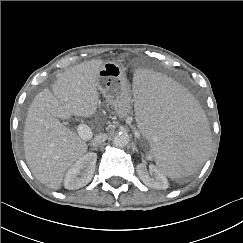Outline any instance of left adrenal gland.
Returning a JSON list of instances; mask_svg holds the SVG:
<instances>
[{
    "mask_svg": "<svg viewBox=\"0 0 243 243\" xmlns=\"http://www.w3.org/2000/svg\"><path fill=\"white\" fill-rule=\"evenodd\" d=\"M133 151L138 152V149L134 146Z\"/></svg>",
    "mask_w": 243,
    "mask_h": 243,
    "instance_id": "1",
    "label": "left adrenal gland"
}]
</instances>
